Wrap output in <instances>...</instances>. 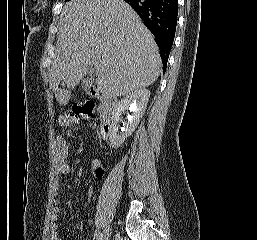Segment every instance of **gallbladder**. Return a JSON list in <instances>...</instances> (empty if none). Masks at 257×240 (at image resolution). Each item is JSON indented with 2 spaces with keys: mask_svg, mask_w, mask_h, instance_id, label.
<instances>
[{
  "mask_svg": "<svg viewBox=\"0 0 257 240\" xmlns=\"http://www.w3.org/2000/svg\"><path fill=\"white\" fill-rule=\"evenodd\" d=\"M86 82H87V81H84V82L82 83V85H84Z\"/></svg>",
  "mask_w": 257,
  "mask_h": 240,
  "instance_id": "bac80fb5",
  "label": "gallbladder"
}]
</instances>
